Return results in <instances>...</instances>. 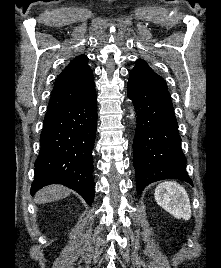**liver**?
Masks as SVG:
<instances>
[{
  "label": "liver",
  "mask_w": 221,
  "mask_h": 268,
  "mask_svg": "<svg viewBox=\"0 0 221 268\" xmlns=\"http://www.w3.org/2000/svg\"><path fill=\"white\" fill-rule=\"evenodd\" d=\"M71 190L62 185H50L41 189L35 196V203L44 204L69 196Z\"/></svg>",
  "instance_id": "obj_1"
}]
</instances>
